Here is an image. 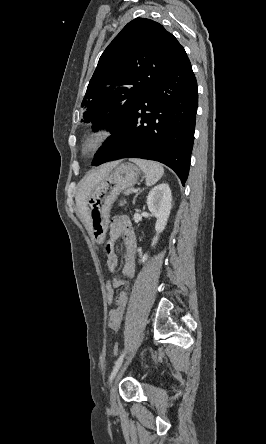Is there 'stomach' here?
<instances>
[{"mask_svg":"<svg viewBox=\"0 0 266 444\" xmlns=\"http://www.w3.org/2000/svg\"><path fill=\"white\" fill-rule=\"evenodd\" d=\"M140 169L130 163L117 165L90 193L85 210L90 233L101 241L107 230L112 204L120 192L132 187L138 180Z\"/></svg>","mask_w":266,"mask_h":444,"instance_id":"obj_1","label":"stomach"}]
</instances>
